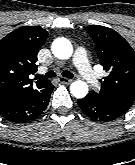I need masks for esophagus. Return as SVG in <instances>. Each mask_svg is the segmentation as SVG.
<instances>
[{"mask_svg":"<svg viewBox=\"0 0 135 165\" xmlns=\"http://www.w3.org/2000/svg\"><path fill=\"white\" fill-rule=\"evenodd\" d=\"M58 81L63 84H70L72 82L71 79L65 78V77H59Z\"/></svg>","mask_w":135,"mask_h":165,"instance_id":"esophagus-1","label":"esophagus"}]
</instances>
